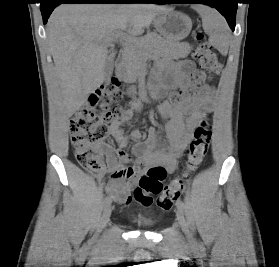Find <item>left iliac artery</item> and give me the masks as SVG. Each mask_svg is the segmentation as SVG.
Returning a JSON list of instances; mask_svg holds the SVG:
<instances>
[{"instance_id":"left-iliac-artery-1","label":"left iliac artery","mask_w":279,"mask_h":267,"mask_svg":"<svg viewBox=\"0 0 279 267\" xmlns=\"http://www.w3.org/2000/svg\"><path fill=\"white\" fill-rule=\"evenodd\" d=\"M176 205H177V208H178V209L183 210V211H186L185 204H184L181 200H179V201L176 203Z\"/></svg>"}]
</instances>
